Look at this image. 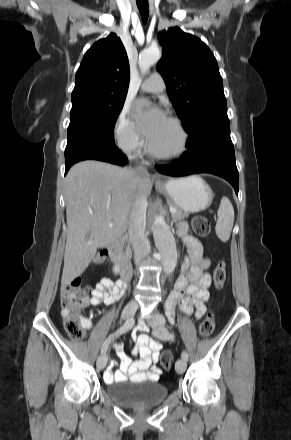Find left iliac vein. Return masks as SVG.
I'll return each instance as SVG.
<instances>
[{"instance_id":"obj_1","label":"left iliac vein","mask_w":291,"mask_h":440,"mask_svg":"<svg viewBox=\"0 0 291 440\" xmlns=\"http://www.w3.org/2000/svg\"><path fill=\"white\" fill-rule=\"evenodd\" d=\"M150 324L153 328L154 336L162 340L166 339L163 333L160 331L165 324V318L161 314L155 313L154 316L150 319ZM185 369H186V361L184 359H179L175 365L176 372L178 374H183Z\"/></svg>"}]
</instances>
